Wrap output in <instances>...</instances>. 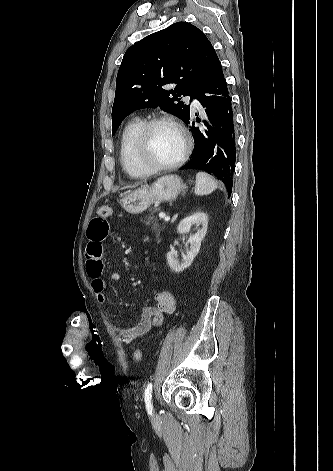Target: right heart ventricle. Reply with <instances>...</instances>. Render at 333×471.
Returning a JSON list of instances; mask_svg holds the SVG:
<instances>
[{
  "label": "right heart ventricle",
  "mask_w": 333,
  "mask_h": 471,
  "mask_svg": "<svg viewBox=\"0 0 333 471\" xmlns=\"http://www.w3.org/2000/svg\"><path fill=\"white\" fill-rule=\"evenodd\" d=\"M144 123V120L139 117L132 118L126 123L120 136V164L131 178H142L151 174L140 166L136 159V141Z\"/></svg>",
  "instance_id": "1"
}]
</instances>
